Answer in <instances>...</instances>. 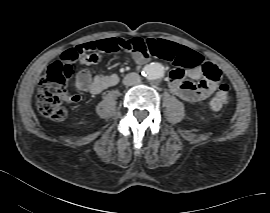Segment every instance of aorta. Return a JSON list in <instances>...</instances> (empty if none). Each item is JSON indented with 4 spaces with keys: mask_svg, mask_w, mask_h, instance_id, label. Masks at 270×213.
Segmentation results:
<instances>
[{
    "mask_svg": "<svg viewBox=\"0 0 270 213\" xmlns=\"http://www.w3.org/2000/svg\"><path fill=\"white\" fill-rule=\"evenodd\" d=\"M164 66L160 63L147 64L143 69V75L148 80H159L164 76Z\"/></svg>",
    "mask_w": 270,
    "mask_h": 213,
    "instance_id": "aorta-1",
    "label": "aorta"
}]
</instances>
